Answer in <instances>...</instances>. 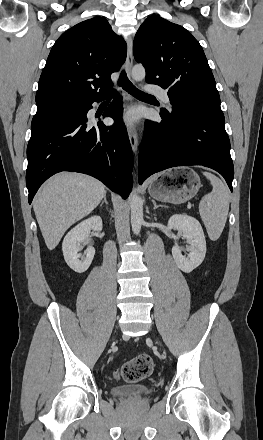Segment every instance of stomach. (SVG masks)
Listing matches in <instances>:
<instances>
[{
	"instance_id": "obj_1",
	"label": "stomach",
	"mask_w": 263,
	"mask_h": 440,
	"mask_svg": "<svg viewBox=\"0 0 263 440\" xmlns=\"http://www.w3.org/2000/svg\"><path fill=\"white\" fill-rule=\"evenodd\" d=\"M200 187V177L193 169L176 168L155 176L148 191L156 200L181 204L192 199Z\"/></svg>"
}]
</instances>
